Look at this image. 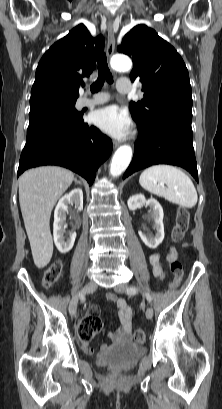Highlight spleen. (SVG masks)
Instances as JSON below:
<instances>
[{
	"label": "spleen",
	"instance_id": "1",
	"mask_svg": "<svg viewBox=\"0 0 222 409\" xmlns=\"http://www.w3.org/2000/svg\"><path fill=\"white\" fill-rule=\"evenodd\" d=\"M139 183L148 192L183 208H193L198 200L191 179L182 170L171 165H155L145 169L140 175Z\"/></svg>",
	"mask_w": 222,
	"mask_h": 409
}]
</instances>
